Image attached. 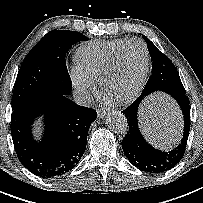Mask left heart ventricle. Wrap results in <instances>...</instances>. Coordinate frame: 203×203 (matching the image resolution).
I'll use <instances>...</instances> for the list:
<instances>
[{
	"label": "left heart ventricle",
	"mask_w": 203,
	"mask_h": 203,
	"mask_svg": "<svg viewBox=\"0 0 203 203\" xmlns=\"http://www.w3.org/2000/svg\"><path fill=\"white\" fill-rule=\"evenodd\" d=\"M145 63L143 47L138 43L129 44L122 52L118 66L109 82L112 98L127 96L136 86Z\"/></svg>",
	"instance_id": "obj_1"
}]
</instances>
